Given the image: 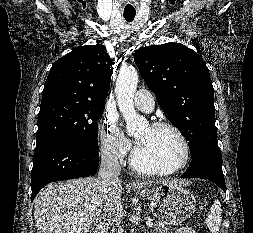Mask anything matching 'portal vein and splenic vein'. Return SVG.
<instances>
[{"label": "portal vein and splenic vein", "mask_w": 253, "mask_h": 233, "mask_svg": "<svg viewBox=\"0 0 253 233\" xmlns=\"http://www.w3.org/2000/svg\"><path fill=\"white\" fill-rule=\"evenodd\" d=\"M146 225H147L148 227H153V226H154V224H153V222H152L151 220H148V221L146 222Z\"/></svg>", "instance_id": "1"}]
</instances>
